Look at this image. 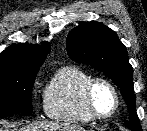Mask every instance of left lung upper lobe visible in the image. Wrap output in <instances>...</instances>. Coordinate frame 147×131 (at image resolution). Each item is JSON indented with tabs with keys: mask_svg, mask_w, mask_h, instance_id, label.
Wrapping results in <instances>:
<instances>
[{
	"mask_svg": "<svg viewBox=\"0 0 147 131\" xmlns=\"http://www.w3.org/2000/svg\"><path fill=\"white\" fill-rule=\"evenodd\" d=\"M67 53L73 60L102 71L120 87L129 111L127 127L142 131L135 110L133 68L116 33L100 22H84L69 33Z\"/></svg>",
	"mask_w": 147,
	"mask_h": 131,
	"instance_id": "left-lung-upper-lobe-1",
	"label": "left lung upper lobe"
}]
</instances>
